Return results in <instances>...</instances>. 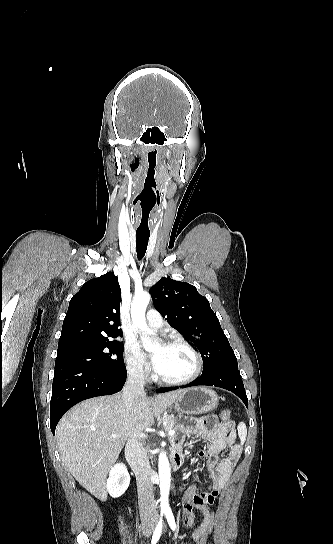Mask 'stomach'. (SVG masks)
<instances>
[{"label":"stomach","instance_id":"1","mask_svg":"<svg viewBox=\"0 0 333 544\" xmlns=\"http://www.w3.org/2000/svg\"><path fill=\"white\" fill-rule=\"evenodd\" d=\"M218 406V395L207 387H194L184 390L174 402L176 411L197 415L211 412Z\"/></svg>","mask_w":333,"mask_h":544}]
</instances>
